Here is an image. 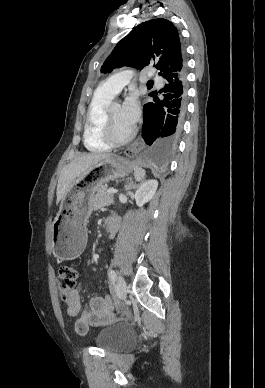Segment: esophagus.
<instances>
[{"mask_svg": "<svg viewBox=\"0 0 265 388\" xmlns=\"http://www.w3.org/2000/svg\"><path fill=\"white\" fill-rule=\"evenodd\" d=\"M144 146V142L142 138L136 140L134 143H132L126 150L124 151V155L128 156L129 158L135 156Z\"/></svg>", "mask_w": 265, "mask_h": 388, "instance_id": "esophagus-1", "label": "esophagus"}]
</instances>
